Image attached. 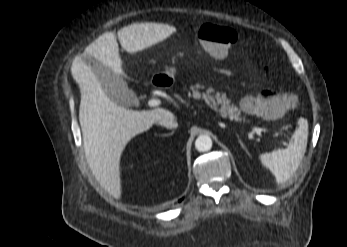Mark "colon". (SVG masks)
Returning <instances> with one entry per match:
<instances>
[{"label": "colon", "instance_id": "5ec220e1", "mask_svg": "<svg viewBox=\"0 0 347 247\" xmlns=\"http://www.w3.org/2000/svg\"><path fill=\"white\" fill-rule=\"evenodd\" d=\"M193 33L206 53L216 59L226 57L238 39L234 29L216 23L197 25ZM295 104V97L289 93L279 94L273 89H263L256 96L244 97L240 105L247 113L276 118L293 108Z\"/></svg>", "mask_w": 347, "mask_h": 247}]
</instances>
